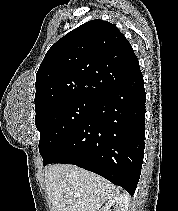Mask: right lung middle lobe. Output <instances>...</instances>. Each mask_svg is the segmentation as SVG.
I'll return each mask as SVG.
<instances>
[{"label":"right lung middle lobe","mask_w":178,"mask_h":211,"mask_svg":"<svg viewBox=\"0 0 178 211\" xmlns=\"http://www.w3.org/2000/svg\"><path fill=\"white\" fill-rule=\"evenodd\" d=\"M95 100H63L36 112L35 124L40 132L39 152L43 159L82 123Z\"/></svg>","instance_id":"1"}]
</instances>
